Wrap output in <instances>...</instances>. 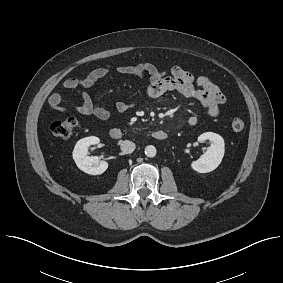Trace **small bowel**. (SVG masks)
Here are the masks:
<instances>
[{
    "instance_id": "1",
    "label": "small bowel",
    "mask_w": 283,
    "mask_h": 283,
    "mask_svg": "<svg viewBox=\"0 0 283 283\" xmlns=\"http://www.w3.org/2000/svg\"><path fill=\"white\" fill-rule=\"evenodd\" d=\"M111 75L148 78L146 95L149 98H158L167 92L177 91L185 97L199 102L211 117L219 115L220 108L226 101L218 85L208 76L196 77L180 66H173L168 74L151 63L97 68L85 77L66 79L63 86L69 91H76L78 88L89 89L101 78ZM79 95L81 103L73 104L60 93L54 92L48 98L49 107L61 113L72 108L80 114H93L101 120L110 118L111 112L95 103L88 93L81 91ZM131 106V103L122 100H117L114 104L115 109L120 113L127 111ZM198 121L196 115H191L187 119V125L195 127Z\"/></svg>"
}]
</instances>
